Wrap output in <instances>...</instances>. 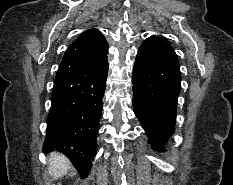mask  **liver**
Returning a JSON list of instances; mask_svg holds the SVG:
<instances>
[{
    "label": "liver",
    "instance_id": "liver-1",
    "mask_svg": "<svg viewBox=\"0 0 233 185\" xmlns=\"http://www.w3.org/2000/svg\"><path fill=\"white\" fill-rule=\"evenodd\" d=\"M71 169V163L64 155L53 152L49 156V173L55 178H59L67 174Z\"/></svg>",
    "mask_w": 233,
    "mask_h": 185
}]
</instances>
